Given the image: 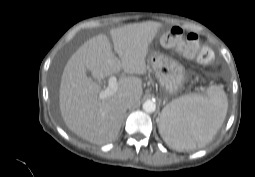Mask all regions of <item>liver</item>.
<instances>
[{
  "mask_svg": "<svg viewBox=\"0 0 255 177\" xmlns=\"http://www.w3.org/2000/svg\"><path fill=\"white\" fill-rule=\"evenodd\" d=\"M162 25L148 21L128 24L110 31L115 52L106 35L86 41L68 60L61 78L59 107L66 126L93 144L115 140L121 129L126 98L136 102L143 94L142 80L135 75L146 73L149 45ZM124 70L130 76L118 80V89L110 97L100 99L101 81ZM87 71L92 77L87 76Z\"/></svg>",
  "mask_w": 255,
  "mask_h": 177,
  "instance_id": "1",
  "label": "liver"
}]
</instances>
